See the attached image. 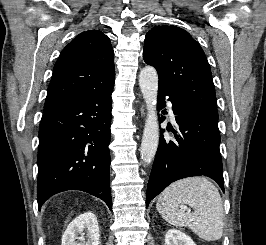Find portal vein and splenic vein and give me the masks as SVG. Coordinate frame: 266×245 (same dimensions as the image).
Returning <instances> with one entry per match:
<instances>
[{"label":"portal vein and splenic vein","mask_w":266,"mask_h":245,"mask_svg":"<svg viewBox=\"0 0 266 245\" xmlns=\"http://www.w3.org/2000/svg\"><path fill=\"white\" fill-rule=\"evenodd\" d=\"M182 209H185V211H186L187 207H182ZM187 211H188V213H190V209H187Z\"/></svg>","instance_id":"portal-vein-and-splenic-vein-1"}]
</instances>
